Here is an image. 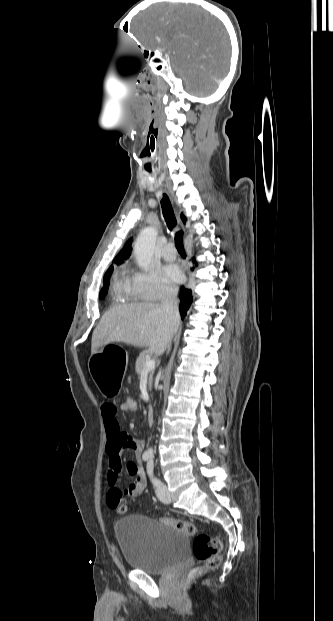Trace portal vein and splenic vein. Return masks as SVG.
<instances>
[{"mask_svg": "<svg viewBox=\"0 0 333 621\" xmlns=\"http://www.w3.org/2000/svg\"><path fill=\"white\" fill-rule=\"evenodd\" d=\"M154 368H155V361L151 360L150 358H148V360L145 363V367H144L142 373H145V372L147 373V372L151 371Z\"/></svg>", "mask_w": 333, "mask_h": 621, "instance_id": "portal-vein-and-splenic-vein-1", "label": "portal vein and splenic vein"}]
</instances>
